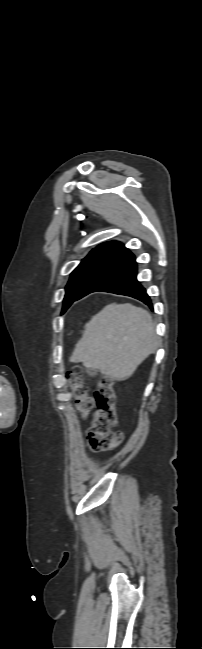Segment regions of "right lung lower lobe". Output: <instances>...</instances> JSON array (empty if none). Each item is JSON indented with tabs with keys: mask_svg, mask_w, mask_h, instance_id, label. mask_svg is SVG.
Masks as SVG:
<instances>
[{
	"mask_svg": "<svg viewBox=\"0 0 202 649\" xmlns=\"http://www.w3.org/2000/svg\"><path fill=\"white\" fill-rule=\"evenodd\" d=\"M95 291H105L136 298L151 309V299L137 280V263L135 256L126 252L115 257L102 268L84 287L78 299Z\"/></svg>",
	"mask_w": 202,
	"mask_h": 649,
	"instance_id": "98d812e1",
	"label": "right lung lower lobe"
}]
</instances>
